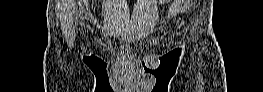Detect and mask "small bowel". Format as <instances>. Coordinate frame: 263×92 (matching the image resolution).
Wrapping results in <instances>:
<instances>
[{"instance_id": "small-bowel-1", "label": "small bowel", "mask_w": 263, "mask_h": 92, "mask_svg": "<svg viewBox=\"0 0 263 92\" xmlns=\"http://www.w3.org/2000/svg\"><path fill=\"white\" fill-rule=\"evenodd\" d=\"M115 4H118L122 10L126 9V4L123 1L116 2Z\"/></svg>"}]
</instances>
